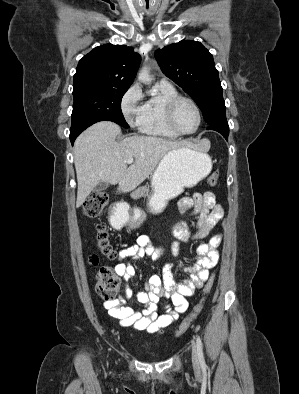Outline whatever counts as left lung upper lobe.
Segmentation results:
<instances>
[{
    "label": "left lung upper lobe",
    "mask_w": 299,
    "mask_h": 394,
    "mask_svg": "<svg viewBox=\"0 0 299 394\" xmlns=\"http://www.w3.org/2000/svg\"><path fill=\"white\" fill-rule=\"evenodd\" d=\"M162 72L197 103L208 125L226 123L223 89L212 54L197 41L183 40L155 51Z\"/></svg>",
    "instance_id": "1"
}]
</instances>
